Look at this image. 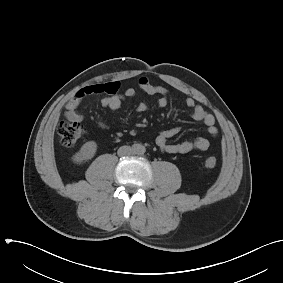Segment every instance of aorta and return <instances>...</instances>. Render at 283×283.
Returning <instances> with one entry per match:
<instances>
[{
    "label": "aorta",
    "instance_id": "1",
    "mask_svg": "<svg viewBox=\"0 0 283 283\" xmlns=\"http://www.w3.org/2000/svg\"><path fill=\"white\" fill-rule=\"evenodd\" d=\"M134 150H135L136 154H144L145 147L143 145L138 144V145H136Z\"/></svg>",
    "mask_w": 283,
    "mask_h": 283
}]
</instances>
